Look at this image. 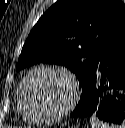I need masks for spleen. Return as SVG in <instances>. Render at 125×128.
<instances>
[{
  "label": "spleen",
  "instance_id": "3e777b00",
  "mask_svg": "<svg viewBox=\"0 0 125 128\" xmlns=\"http://www.w3.org/2000/svg\"><path fill=\"white\" fill-rule=\"evenodd\" d=\"M91 128H113V126H110L107 123L102 122L98 118H91L90 119Z\"/></svg>",
  "mask_w": 125,
  "mask_h": 128
}]
</instances>
